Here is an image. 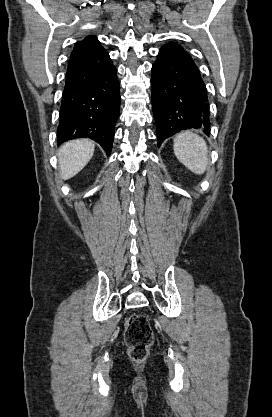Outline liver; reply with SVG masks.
<instances>
[{"label": "liver", "mask_w": 272, "mask_h": 417, "mask_svg": "<svg viewBox=\"0 0 272 417\" xmlns=\"http://www.w3.org/2000/svg\"><path fill=\"white\" fill-rule=\"evenodd\" d=\"M94 142L88 139L72 140L62 145L57 153L60 175L68 180L79 173L94 154Z\"/></svg>", "instance_id": "1"}]
</instances>
